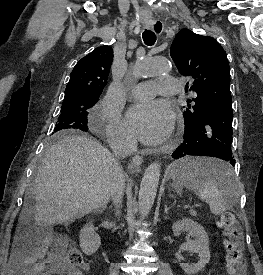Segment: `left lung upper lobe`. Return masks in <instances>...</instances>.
Here are the masks:
<instances>
[{"label": "left lung upper lobe", "mask_w": 263, "mask_h": 275, "mask_svg": "<svg viewBox=\"0 0 263 275\" xmlns=\"http://www.w3.org/2000/svg\"><path fill=\"white\" fill-rule=\"evenodd\" d=\"M170 55L178 71L192 80L190 90L197 93L195 105L184 111L185 127L199 123L212 108L231 102L230 69L226 52L214 39L182 29L175 37Z\"/></svg>", "instance_id": "left-lung-upper-lobe-1"}]
</instances>
